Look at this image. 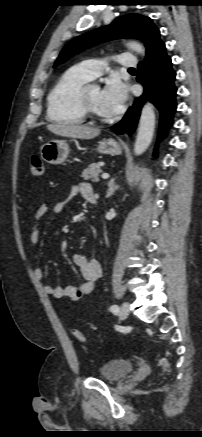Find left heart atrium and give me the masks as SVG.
Instances as JSON below:
<instances>
[{"instance_id": "left-heart-atrium-1", "label": "left heart atrium", "mask_w": 202, "mask_h": 437, "mask_svg": "<svg viewBox=\"0 0 202 437\" xmlns=\"http://www.w3.org/2000/svg\"><path fill=\"white\" fill-rule=\"evenodd\" d=\"M128 98L127 86L118 78H110L102 90V105L109 115L123 110Z\"/></svg>"}]
</instances>
